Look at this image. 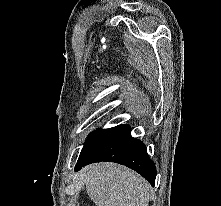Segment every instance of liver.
Listing matches in <instances>:
<instances>
[{
	"label": "liver",
	"instance_id": "1",
	"mask_svg": "<svg viewBox=\"0 0 221 206\" xmlns=\"http://www.w3.org/2000/svg\"><path fill=\"white\" fill-rule=\"evenodd\" d=\"M83 174L87 193L96 206H148L150 185L127 167L97 163Z\"/></svg>",
	"mask_w": 221,
	"mask_h": 206
}]
</instances>
